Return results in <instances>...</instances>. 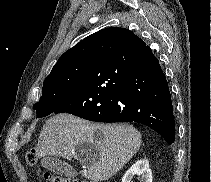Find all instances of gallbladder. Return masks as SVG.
<instances>
[{"label":"gallbladder","mask_w":211,"mask_h":182,"mask_svg":"<svg viewBox=\"0 0 211 182\" xmlns=\"http://www.w3.org/2000/svg\"><path fill=\"white\" fill-rule=\"evenodd\" d=\"M86 146H89L91 148V154H93L94 157H97V153L95 151V148L91 144H80L76 147V154L77 157L80 160H84V156L82 155V152H85ZM41 164L44 168L51 170L52 172L67 176V177H75L76 171L73 169L71 165L68 163L60 160L58 157L54 156H45L41 160Z\"/></svg>","instance_id":"bac80fb5"}]
</instances>
